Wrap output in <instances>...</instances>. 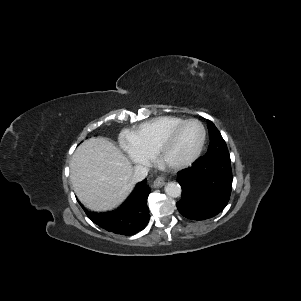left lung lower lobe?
<instances>
[{
    "mask_svg": "<svg viewBox=\"0 0 301 301\" xmlns=\"http://www.w3.org/2000/svg\"><path fill=\"white\" fill-rule=\"evenodd\" d=\"M232 180L230 156L198 158L191 167L178 172L182 196L177 209L191 220L214 217L230 199Z\"/></svg>",
    "mask_w": 301,
    "mask_h": 301,
    "instance_id": "left-lung-lower-lobe-1",
    "label": "left lung lower lobe"
}]
</instances>
